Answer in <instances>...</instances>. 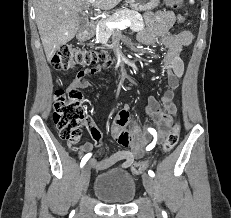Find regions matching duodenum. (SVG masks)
Here are the masks:
<instances>
[{
  "label": "duodenum",
  "mask_w": 231,
  "mask_h": 218,
  "mask_svg": "<svg viewBox=\"0 0 231 218\" xmlns=\"http://www.w3.org/2000/svg\"><path fill=\"white\" fill-rule=\"evenodd\" d=\"M95 30V26L93 23H88L86 24V26L84 27L83 31L79 34L80 39L82 40H86L88 38H90L92 36V34L94 33ZM111 62V63H109ZM113 63L112 60H109L105 66L108 67Z\"/></svg>",
  "instance_id": "obj_1"
}]
</instances>
